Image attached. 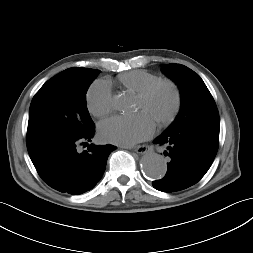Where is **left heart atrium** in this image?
Returning a JSON list of instances; mask_svg holds the SVG:
<instances>
[{
	"instance_id": "39dd6f15",
	"label": "left heart atrium",
	"mask_w": 253,
	"mask_h": 253,
	"mask_svg": "<svg viewBox=\"0 0 253 253\" xmlns=\"http://www.w3.org/2000/svg\"><path fill=\"white\" fill-rule=\"evenodd\" d=\"M100 137L111 143L131 146L149 138L155 131V122L145 112L130 116H114L98 127Z\"/></svg>"
}]
</instances>
